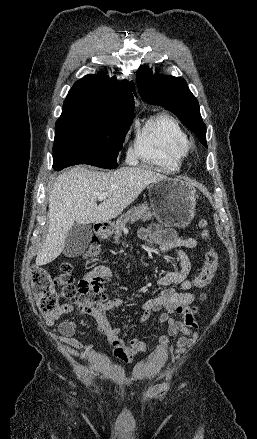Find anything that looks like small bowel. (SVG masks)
I'll use <instances>...</instances> for the list:
<instances>
[{"label": "small bowel", "mask_w": 257, "mask_h": 439, "mask_svg": "<svg viewBox=\"0 0 257 439\" xmlns=\"http://www.w3.org/2000/svg\"><path fill=\"white\" fill-rule=\"evenodd\" d=\"M140 239L155 245L163 254L175 250V257L178 260V267H175L160 277L158 283L164 287L161 293L141 306L139 322L148 320L153 313L161 312L159 323L167 328V335H161L157 345L152 352V362L157 365L162 360L169 347V337L180 335L176 342L175 353L181 354L192 346L196 337L197 324L190 315L189 305L194 301L193 289L198 287L196 276L198 272L191 273L194 260L186 250L194 249L197 241L192 237H180L172 228H162L158 224L141 228L138 232ZM111 276V270L105 265H98L86 273L79 282V286L95 293L103 292V282ZM179 285L180 290L176 291L172 286ZM123 307L122 298L117 295L102 303L97 310L86 313L92 317L98 331L107 339L112 348L113 355L125 364H131L138 356L146 350V344L138 337L125 340L121 335V329L113 326L107 313ZM73 311V306L64 303L60 305L54 315L47 317L46 323L52 326L61 316ZM173 314L180 315L183 320H176ZM76 322L64 320L58 325V332L61 341L67 346L81 351L76 355L83 360L88 348L78 339L74 338Z\"/></svg>", "instance_id": "c3829d8e"}]
</instances>
